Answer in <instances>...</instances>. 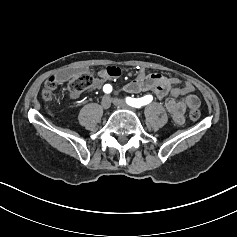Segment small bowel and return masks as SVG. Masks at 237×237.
I'll list each match as a JSON object with an SVG mask.
<instances>
[{
    "instance_id": "obj_1",
    "label": "small bowel",
    "mask_w": 237,
    "mask_h": 237,
    "mask_svg": "<svg viewBox=\"0 0 237 237\" xmlns=\"http://www.w3.org/2000/svg\"><path fill=\"white\" fill-rule=\"evenodd\" d=\"M76 72V69L71 68L60 71L55 77L56 83L63 84L67 82ZM121 74L122 70L119 67H103L98 71L90 89L104 87L109 81L120 77ZM124 89L130 93L149 91L157 99H165V107L178 125L184 123L187 109H197L200 105L198 97L192 94L195 87L191 82L165 77L157 73L146 74L144 70H141L135 79L127 83ZM80 94L81 92L70 91L72 98H77Z\"/></svg>"
}]
</instances>
